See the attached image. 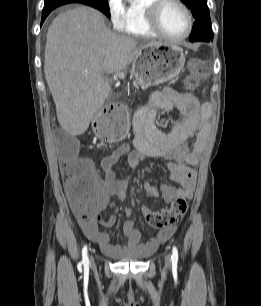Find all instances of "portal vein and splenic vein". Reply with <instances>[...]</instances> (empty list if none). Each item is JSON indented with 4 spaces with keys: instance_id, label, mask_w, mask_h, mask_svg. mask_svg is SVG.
<instances>
[{
    "instance_id": "portal-vein-and-splenic-vein-1",
    "label": "portal vein and splenic vein",
    "mask_w": 261,
    "mask_h": 306,
    "mask_svg": "<svg viewBox=\"0 0 261 306\" xmlns=\"http://www.w3.org/2000/svg\"><path fill=\"white\" fill-rule=\"evenodd\" d=\"M124 76V74L123 73H119V77H123Z\"/></svg>"
}]
</instances>
